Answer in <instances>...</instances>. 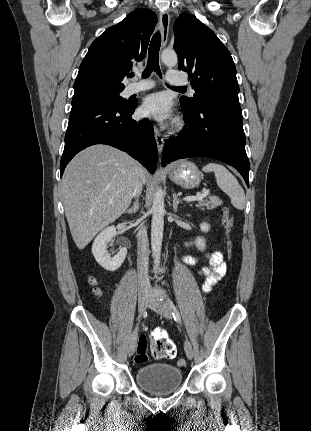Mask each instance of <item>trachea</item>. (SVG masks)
I'll use <instances>...</instances> for the list:
<instances>
[{"label":"trachea","mask_w":311,"mask_h":431,"mask_svg":"<svg viewBox=\"0 0 311 431\" xmlns=\"http://www.w3.org/2000/svg\"><path fill=\"white\" fill-rule=\"evenodd\" d=\"M161 46V35L159 32H156L152 37L150 42V46L148 49V62L146 68L142 74L143 78H148L152 72H156L160 78H162L161 70L159 67V50ZM133 77V73L130 75ZM176 89L186 90V87H173Z\"/></svg>","instance_id":"1"}]
</instances>
